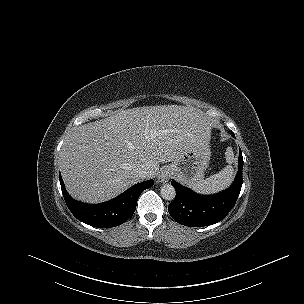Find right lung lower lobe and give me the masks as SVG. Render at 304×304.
I'll list each match as a JSON object with an SVG mask.
<instances>
[{
	"mask_svg": "<svg viewBox=\"0 0 304 304\" xmlns=\"http://www.w3.org/2000/svg\"><path fill=\"white\" fill-rule=\"evenodd\" d=\"M60 184L65 202L78 220L93 227L110 228L124 223L133 215L140 194L153 186L154 181L138 183L118 197L101 204H85L75 201L67 193L61 176Z\"/></svg>",
	"mask_w": 304,
	"mask_h": 304,
	"instance_id": "98d812e1",
	"label": "right lung lower lobe"
}]
</instances>
